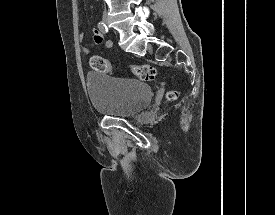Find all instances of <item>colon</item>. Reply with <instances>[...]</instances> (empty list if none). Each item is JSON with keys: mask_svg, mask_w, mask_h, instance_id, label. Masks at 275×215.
<instances>
[{"mask_svg": "<svg viewBox=\"0 0 275 215\" xmlns=\"http://www.w3.org/2000/svg\"><path fill=\"white\" fill-rule=\"evenodd\" d=\"M89 63L93 70L101 73L108 72L112 67L111 62L102 56H93ZM131 72L136 78L144 82H152L156 77V69L150 65L132 66ZM177 97L178 93L174 90L169 91L166 95L169 101H173Z\"/></svg>", "mask_w": 275, "mask_h": 215, "instance_id": "obj_1", "label": "colon"}]
</instances>
